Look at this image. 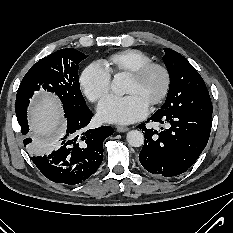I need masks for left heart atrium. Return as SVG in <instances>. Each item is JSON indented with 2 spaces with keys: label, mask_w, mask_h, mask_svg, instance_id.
Returning <instances> with one entry per match:
<instances>
[{
  "label": "left heart atrium",
  "mask_w": 233,
  "mask_h": 233,
  "mask_svg": "<svg viewBox=\"0 0 233 233\" xmlns=\"http://www.w3.org/2000/svg\"><path fill=\"white\" fill-rule=\"evenodd\" d=\"M147 111L148 104L135 94L108 96L100 102L97 109L101 121L118 124L140 120L146 116Z\"/></svg>",
  "instance_id": "left-heart-atrium-1"
}]
</instances>
